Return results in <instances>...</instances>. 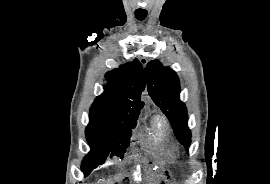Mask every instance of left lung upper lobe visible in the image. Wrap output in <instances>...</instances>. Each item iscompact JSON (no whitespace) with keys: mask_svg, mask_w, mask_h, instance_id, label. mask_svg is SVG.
I'll list each match as a JSON object with an SVG mask.
<instances>
[{"mask_svg":"<svg viewBox=\"0 0 270 184\" xmlns=\"http://www.w3.org/2000/svg\"><path fill=\"white\" fill-rule=\"evenodd\" d=\"M147 89L154 103L170 120L173 131L181 144L190 146L191 132L185 104L180 101L179 79L176 73L164 67L160 61L148 62L146 66Z\"/></svg>","mask_w":270,"mask_h":184,"instance_id":"left-lung-upper-lobe-1","label":"left lung upper lobe"}]
</instances>
